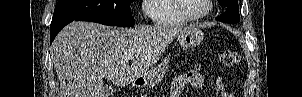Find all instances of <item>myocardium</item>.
I'll return each instance as SVG.
<instances>
[{
    "mask_svg": "<svg viewBox=\"0 0 302 97\" xmlns=\"http://www.w3.org/2000/svg\"><path fill=\"white\" fill-rule=\"evenodd\" d=\"M175 8L180 15L188 21H198L208 16L212 11V0H206V10L200 15L188 14L182 6V0H175Z\"/></svg>",
    "mask_w": 302,
    "mask_h": 97,
    "instance_id": "myocardium-1",
    "label": "myocardium"
}]
</instances>
